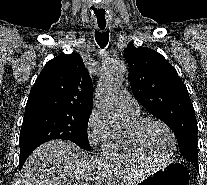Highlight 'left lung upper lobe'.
Returning a JSON list of instances; mask_svg holds the SVG:
<instances>
[{"instance_id":"left-lung-upper-lobe-1","label":"left lung upper lobe","mask_w":207,"mask_h":185,"mask_svg":"<svg viewBox=\"0 0 207 185\" xmlns=\"http://www.w3.org/2000/svg\"><path fill=\"white\" fill-rule=\"evenodd\" d=\"M129 65L132 92L138 102L153 116L161 119L175 133L182 156L198 158L197 120L188 90L175 68L153 49H124Z\"/></svg>"}]
</instances>
